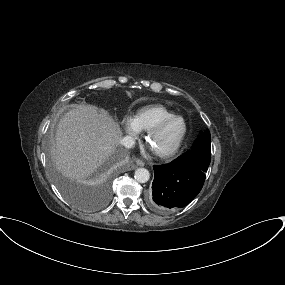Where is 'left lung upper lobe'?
<instances>
[{
	"label": "left lung upper lobe",
	"mask_w": 285,
	"mask_h": 285,
	"mask_svg": "<svg viewBox=\"0 0 285 285\" xmlns=\"http://www.w3.org/2000/svg\"><path fill=\"white\" fill-rule=\"evenodd\" d=\"M211 160V136L207 129L201 133L192 148L178 157L175 161L177 164H183L195 167L207 172Z\"/></svg>",
	"instance_id": "obj_1"
}]
</instances>
